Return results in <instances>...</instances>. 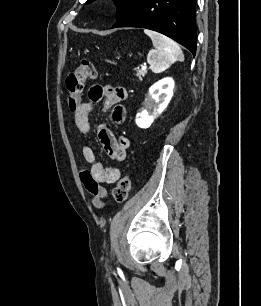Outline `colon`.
Returning a JSON list of instances; mask_svg holds the SVG:
<instances>
[{"mask_svg": "<svg viewBox=\"0 0 261 306\" xmlns=\"http://www.w3.org/2000/svg\"><path fill=\"white\" fill-rule=\"evenodd\" d=\"M96 75L93 63L87 59H83L80 65L67 75L65 81L68 92L67 102L72 111L81 103L86 82L95 79ZM130 191L131 180L128 175H125L117 182L112 195L117 202H124L128 199Z\"/></svg>", "mask_w": 261, "mask_h": 306, "instance_id": "obj_1", "label": "colon"}]
</instances>
